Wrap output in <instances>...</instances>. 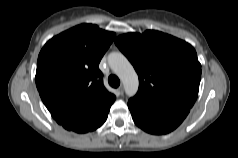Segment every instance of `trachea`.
I'll list each match as a JSON object with an SVG mask.
<instances>
[{"mask_svg":"<svg viewBox=\"0 0 238 158\" xmlns=\"http://www.w3.org/2000/svg\"><path fill=\"white\" fill-rule=\"evenodd\" d=\"M108 82L114 88H117L120 85V80L115 75H110L108 78Z\"/></svg>","mask_w":238,"mask_h":158,"instance_id":"obj_1","label":"trachea"}]
</instances>
